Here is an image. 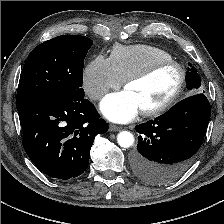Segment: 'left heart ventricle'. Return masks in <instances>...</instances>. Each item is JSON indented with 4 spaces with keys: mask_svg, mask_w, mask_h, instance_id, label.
Masks as SVG:
<instances>
[{
    "mask_svg": "<svg viewBox=\"0 0 224 224\" xmlns=\"http://www.w3.org/2000/svg\"><path fill=\"white\" fill-rule=\"evenodd\" d=\"M179 79V73L174 67L159 70L146 80L127 86L138 101L141 111L156 107L166 101L173 93Z\"/></svg>",
    "mask_w": 224,
    "mask_h": 224,
    "instance_id": "left-heart-ventricle-1",
    "label": "left heart ventricle"
}]
</instances>
